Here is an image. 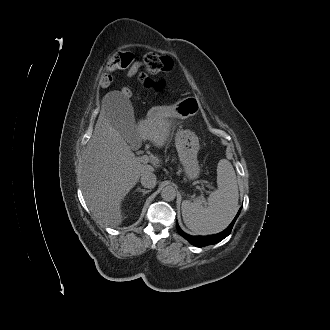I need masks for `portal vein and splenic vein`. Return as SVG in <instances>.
<instances>
[{
	"label": "portal vein and splenic vein",
	"mask_w": 330,
	"mask_h": 330,
	"mask_svg": "<svg viewBox=\"0 0 330 330\" xmlns=\"http://www.w3.org/2000/svg\"><path fill=\"white\" fill-rule=\"evenodd\" d=\"M140 162L142 163H148L150 161V157L147 155H142L139 157Z\"/></svg>",
	"instance_id": "1"
}]
</instances>
